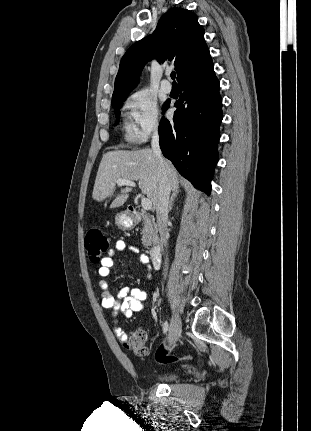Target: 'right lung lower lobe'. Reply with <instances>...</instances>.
Instances as JSON below:
<instances>
[{"label":"right lung lower lobe","mask_w":311,"mask_h":431,"mask_svg":"<svg viewBox=\"0 0 311 431\" xmlns=\"http://www.w3.org/2000/svg\"><path fill=\"white\" fill-rule=\"evenodd\" d=\"M220 83L213 65L179 85L182 93L174 106L173 121L159 126L160 148L181 175L210 195V181L218 161L217 144L222 120ZM170 103L163 107L165 112Z\"/></svg>","instance_id":"98d812e1"}]
</instances>
